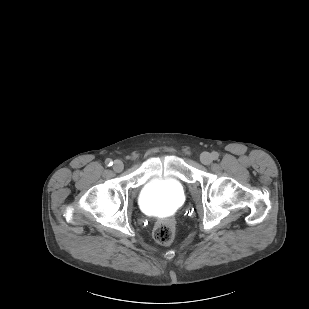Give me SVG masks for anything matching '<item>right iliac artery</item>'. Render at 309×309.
I'll return each mask as SVG.
<instances>
[{
  "label": "right iliac artery",
  "mask_w": 309,
  "mask_h": 309,
  "mask_svg": "<svg viewBox=\"0 0 309 309\" xmlns=\"http://www.w3.org/2000/svg\"><path fill=\"white\" fill-rule=\"evenodd\" d=\"M105 163H106L107 166H112V164H113L111 159H106Z\"/></svg>",
  "instance_id": "obj_1"
}]
</instances>
